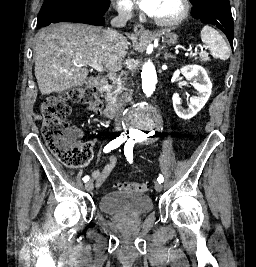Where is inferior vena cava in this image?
<instances>
[{
  "label": "inferior vena cava",
  "mask_w": 256,
  "mask_h": 267,
  "mask_svg": "<svg viewBox=\"0 0 256 267\" xmlns=\"http://www.w3.org/2000/svg\"><path fill=\"white\" fill-rule=\"evenodd\" d=\"M118 16L111 20L110 24L113 28H125L128 20L132 18V6H118L117 8ZM107 36H113L114 40H125L122 34H118L116 30H106ZM127 74H121L120 80L121 84H127L128 78H126ZM127 100L126 98H122L120 100L119 108L117 110V114L115 116V126H121V114L123 112V106H126Z\"/></svg>",
  "instance_id": "obj_1"
}]
</instances>
